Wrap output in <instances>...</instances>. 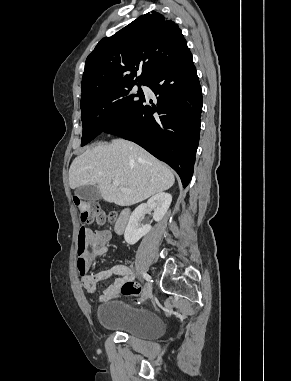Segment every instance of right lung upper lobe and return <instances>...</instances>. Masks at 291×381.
Here are the masks:
<instances>
[{
  "mask_svg": "<svg viewBox=\"0 0 291 381\" xmlns=\"http://www.w3.org/2000/svg\"><path fill=\"white\" fill-rule=\"evenodd\" d=\"M186 47L173 21L156 11L142 15L103 38L87 57L80 105L116 87L146 83Z\"/></svg>",
  "mask_w": 291,
  "mask_h": 381,
  "instance_id": "cb5924a9",
  "label": "right lung upper lobe"
}]
</instances>
